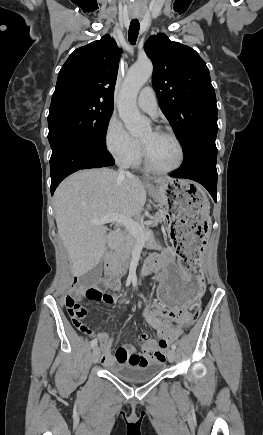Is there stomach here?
<instances>
[{"mask_svg":"<svg viewBox=\"0 0 263 435\" xmlns=\"http://www.w3.org/2000/svg\"><path fill=\"white\" fill-rule=\"evenodd\" d=\"M147 188L171 220L167 231L177 256V260L164 258L155 269V298L169 310H187L189 305H199L205 288L207 271L201 268V254L213 231L209 201L197 183L186 179H170L157 187L148 184Z\"/></svg>","mask_w":263,"mask_h":435,"instance_id":"stomach-1","label":"stomach"}]
</instances>
